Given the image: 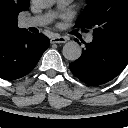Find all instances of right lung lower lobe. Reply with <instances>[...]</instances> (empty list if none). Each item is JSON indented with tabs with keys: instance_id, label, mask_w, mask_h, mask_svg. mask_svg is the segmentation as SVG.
<instances>
[{
	"instance_id": "98d812e1",
	"label": "right lung lower lobe",
	"mask_w": 128,
	"mask_h": 128,
	"mask_svg": "<svg viewBox=\"0 0 128 128\" xmlns=\"http://www.w3.org/2000/svg\"><path fill=\"white\" fill-rule=\"evenodd\" d=\"M49 46L43 34L23 30L0 40V78L15 80L30 73Z\"/></svg>"
}]
</instances>
